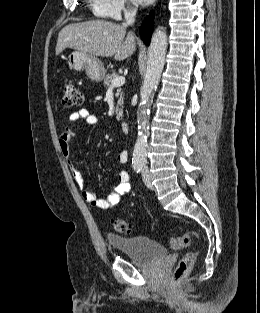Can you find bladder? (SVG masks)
Listing matches in <instances>:
<instances>
[{
    "instance_id": "1",
    "label": "bladder",
    "mask_w": 260,
    "mask_h": 313,
    "mask_svg": "<svg viewBox=\"0 0 260 313\" xmlns=\"http://www.w3.org/2000/svg\"><path fill=\"white\" fill-rule=\"evenodd\" d=\"M106 240L110 247L127 254L137 266L150 267L167 257L165 246L148 237H123L109 234Z\"/></svg>"
}]
</instances>
